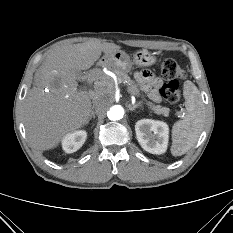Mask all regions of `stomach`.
<instances>
[{
  "label": "stomach",
  "mask_w": 233,
  "mask_h": 233,
  "mask_svg": "<svg viewBox=\"0 0 233 233\" xmlns=\"http://www.w3.org/2000/svg\"><path fill=\"white\" fill-rule=\"evenodd\" d=\"M104 64L121 70L123 72H129L133 65L138 67H148L156 62L154 54L146 49L137 51L133 56L128 55L124 51H118L116 53L105 55L102 58Z\"/></svg>",
  "instance_id": "obj_1"
}]
</instances>
